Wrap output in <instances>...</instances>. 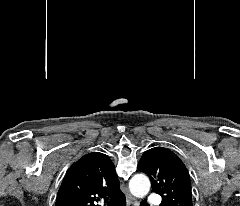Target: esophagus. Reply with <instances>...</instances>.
Instances as JSON below:
<instances>
[{
  "mask_svg": "<svg viewBox=\"0 0 240 206\" xmlns=\"http://www.w3.org/2000/svg\"><path fill=\"white\" fill-rule=\"evenodd\" d=\"M126 205L127 206H139V203L135 197H133L130 193L126 194Z\"/></svg>",
  "mask_w": 240,
  "mask_h": 206,
  "instance_id": "obj_1",
  "label": "esophagus"
}]
</instances>
